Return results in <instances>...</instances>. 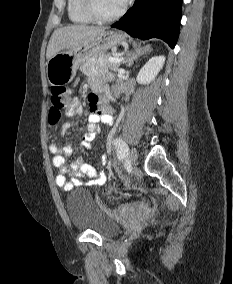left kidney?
I'll use <instances>...</instances> for the list:
<instances>
[{"mask_svg":"<svg viewBox=\"0 0 233 284\" xmlns=\"http://www.w3.org/2000/svg\"><path fill=\"white\" fill-rule=\"evenodd\" d=\"M165 62L164 56H155L141 68L137 75V82L140 84H149L158 75Z\"/></svg>","mask_w":233,"mask_h":284,"instance_id":"obj_1","label":"left kidney"}]
</instances>
